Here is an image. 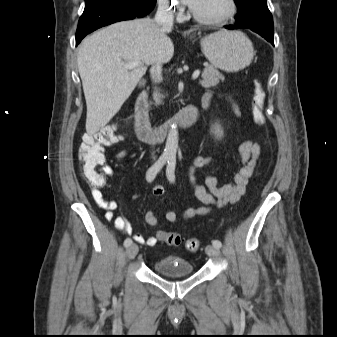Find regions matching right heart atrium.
Returning <instances> with one entry per match:
<instances>
[{
  "label": "right heart atrium",
  "mask_w": 337,
  "mask_h": 337,
  "mask_svg": "<svg viewBox=\"0 0 337 337\" xmlns=\"http://www.w3.org/2000/svg\"><path fill=\"white\" fill-rule=\"evenodd\" d=\"M159 7L167 14L180 17L182 13V6L178 0H158Z\"/></svg>",
  "instance_id": "d8ad5b80"
}]
</instances>
